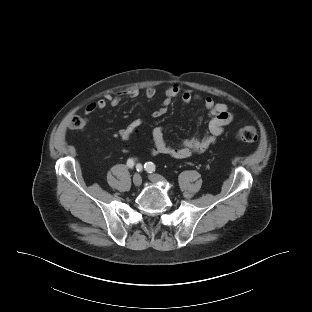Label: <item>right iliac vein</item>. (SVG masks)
<instances>
[{
  "mask_svg": "<svg viewBox=\"0 0 312 312\" xmlns=\"http://www.w3.org/2000/svg\"><path fill=\"white\" fill-rule=\"evenodd\" d=\"M142 183V177L140 174L136 173L134 176H133V184L136 186V187H139Z\"/></svg>",
  "mask_w": 312,
  "mask_h": 312,
  "instance_id": "63e3f726",
  "label": "right iliac vein"
}]
</instances>
